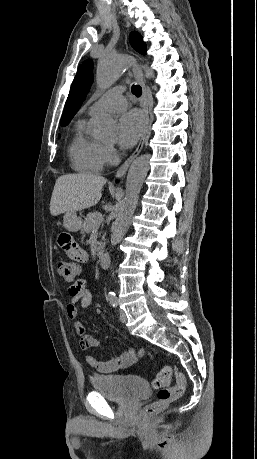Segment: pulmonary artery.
Masks as SVG:
<instances>
[{
  "instance_id": "obj_1",
  "label": "pulmonary artery",
  "mask_w": 257,
  "mask_h": 459,
  "mask_svg": "<svg viewBox=\"0 0 257 459\" xmlns=\"http://www.w3.org/2000/svg\"><path fill=\"white\" fill-rule=\"evenodd\" d=\"M123 87L116 86L102 94L88 108V114L92 115L97 112L119 111L126 107L127 101L123 95Z\"/></svg>"
}]
</instances>
